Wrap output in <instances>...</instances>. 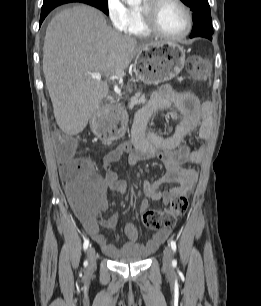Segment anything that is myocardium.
<instances>
[{
    "instance_id": "obj_1",
    "label": "myocardium",
    "mask_w": 261,
    "mask_h": 306,
    "mask_svg": "<svg viewBox=\"0 0 261 306\" xmlns=\"http://www.w3.org/2000/svg\"><path fill=\"white\" fill-rule=\"evenodd\" d=\"M171 1L175 4H177L182 11L184 12L185 18H186V28L184 32L180 35H169L164 33L158 26L156 21V12L158 7L166 2ZM140 9L142 12V16L144 19V23L146 27L156 36L172 40V41H178L182 40L185 37L188 36V34L191 32L193 21H192V15L189 7L184 3L182 0H144V2L140 5Z\"/></svg>"
}]
</instances>
